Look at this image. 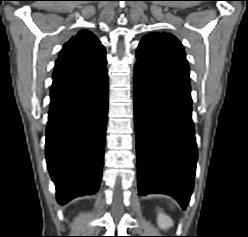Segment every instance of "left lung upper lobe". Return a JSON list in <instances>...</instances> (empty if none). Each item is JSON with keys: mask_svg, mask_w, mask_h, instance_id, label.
I'll use <instances>...</instances> for the list:
<instances>
[{"mask_svg": "<svg viewBox=\"0 0 248 237\" xmlns=\"http://www.w3.org/2000/svg\"><path fill=\"white\" fill-rule=\"evenodd\" d=\"M136 57L139 62L172 80L190 83L184 48L171 34L163 32L145 35L138 46Z\"/></svg>", "mask_w": 248, "mask_h": 237, "instance_id": "5c2ea615", "label": "left lung upper lobe"}]
</instances>
